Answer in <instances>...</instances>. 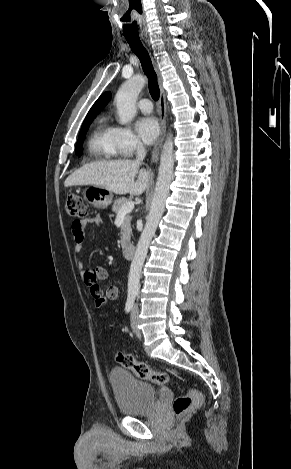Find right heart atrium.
<instances>
[{"label":"right heart atrium","mask_w":291,"mask_h":469,"mask_svg":"<svg viewBox=\"0 0 291 469\" xmlns=\"http://www.w3.org/2000/svg\"><path fill=\"white\" fill-rule=\"evenodd\" d=\"M112 143L119 155L131 156L135 151L142 148L138 136L126 126L111 127Z\"/></svg>","instance_id":"d8ad5b80"}]
</instances>
